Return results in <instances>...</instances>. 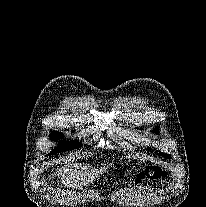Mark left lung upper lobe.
<instances>
[{"mask_svg":"<svg viewBox=\"0 0 206 207\" xmlns=\"http://www.w3.org/2000/svg\"><path fill=\"white\" fill-rule=\"evenodd\" d=\"M159 130H158V127H156L154 129V132L157 133ZM162 156L166 157V158H169V155H166V154H163V153H160Z\"/></svg>","mask_w":206,"mask_h":207,"instance_id":"left-lung-upper-lobe-1","label":"left lung upper lobe"}]
</instances>
